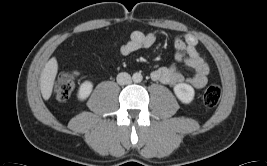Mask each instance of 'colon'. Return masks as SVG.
Masks as SVG:
<instances>
[{
  "mask_svg": "<svg viewBox=\"0 0 267 166\" xmlns=\"http://www.w3.org/2000/svg\"><path fill=\"white\" fill-rule=\"evenodd\" d=\"M74 90V81L70 75L58 79L55 84L54 92L58 100L67 101ZM221 98V89L217 84L208 85L202 95L203 103L208 107L218 104Z\"/></svg>",
  "mask_w": 267,
  "mask_h": 166,
  "instance_id": "1",
  "label": "colon"
}]
</instances>
